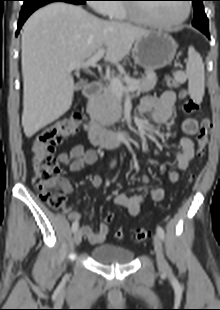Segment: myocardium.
<instances>
[{
    "label": "myocardium",
    "instance_id": "obj_1",
    "mask_svg": "<svg viewBox=\"0 0 220 310\" xmlns=\"http://www.w3.org/2000/svg\"><path fill=\"white\" fill-rule=\"evenodd\" d=\"M184 7H185L184 14L179 19L169 23L161 22L149 16L146 17L141 16V12L134 5H127L126 11L128 16L137 23L148 25L158 29L169 30L178 27L188 19L191 12V6L188 2H185Z\"/></svg>",
    "mask_w": 220,
    "mask_h": 310
}]
</instances>
